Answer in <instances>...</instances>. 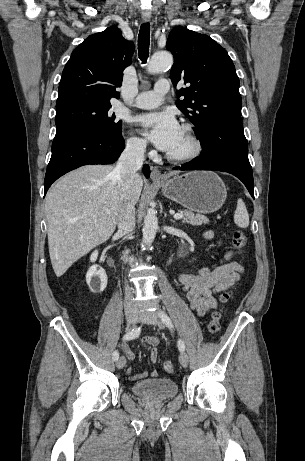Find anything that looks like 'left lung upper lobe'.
<instances>
[{"label": "left lung upper lobe", "mask_w": 305, "mask_h": 461, "mask_svg": "<svg viewBox=\"0 0 305 461\" xmlns=\"http://www.w3.org/2000/svg\"><path fill=\"white\" fill-rule=\"evenodd\" d=\"M166 48L174 55L171 80L190 86L177 91L176 105L195 125V134H202L214 120L240 116L242 99L239 78L228 53L205 34L175 27Z\"/></svg>", "instance_id": "1"}]
</instances>
